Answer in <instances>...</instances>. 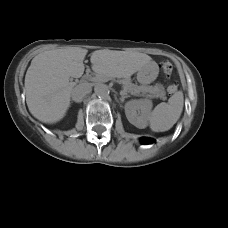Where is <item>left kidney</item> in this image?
<instances>
[{
    "label": "left kidney",
    "instance_id": "obj_1",
    "mask_svg": "<svg viewBox=\"0 0 228 228\" xmlns=\"http://www.w3.org/2000/svg\"><path fill=\"white\" fill-rule=\"evenodd\" d=\"M124 109L128 121L135 127L143 129L147 126L152 102L148 99L131 100L125 104Z\"/></svg>",
    "mask_w": 228,
    "mask_h": 228
}]
</instances>
